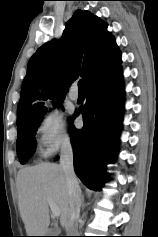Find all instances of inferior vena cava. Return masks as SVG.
<instances>
[{"label": "inferior vena cava", "instance_id": "602c4592", "mask_svg": "<svg viewBox=\"0 0 158 237\" xmlns=\"http://www.w3.org/2000/svg\"><path fill=\"white\" fill-rule=\"evenodd\" d=\"M60 166L66 176L69 196L67 231L70 236H79L78 220L80 216L81 190L74 172L73 150L69 138H65L61 144Z\"/></svg>", "mask_w": 158, "mask_h": 237}]
</instances>
